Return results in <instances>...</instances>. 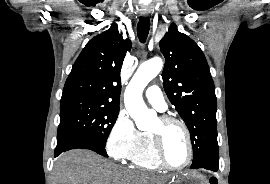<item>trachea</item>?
<instances>
[{
	"label": "trachea",
	"mask_w": 270,
	"mask_h": 184,
	"mask_svg": "<svg viewBox=\"0 0 270 184\" xmlns=\"http://www.w3.org/2000/svg\"><path fill=\"white\" fill-rule=\"evenodd\" d=\"M150 30V20L148 17H140L137 25V34L140 42L144 43L147 39Z\"/></svg>",
	"instance_id": "1"
}]
</instances>
